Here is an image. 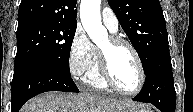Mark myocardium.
Returning <instances> with one entry per match:
<instances>
[{
	"label": "myocardium",
	"instance_id": "1",
	"mask_svg": "<svg viewBox=\"0 0 193 112\" xmlns=\"http://www.w3.org/2000/svg\"><path fill=\"white\" fill-rule=\"evenodd\" d=\"M110 44L112 46H126L128 47L131 52L134 55V58L136 60L137 63V67H138V71H139V82L137 87L132 90V91H126L124 89H122L113 79L110 69H109V65H108V58H107V54L101 50L100 48L98 49V62H99V70L101 73V76L103 78V80L105 81V83L112 88L113 90H115L116 92L123 94V95H127V96H134L137 95L143 88L144 84H145V70H144V66L141 60V57L137 51V49L135 48V46L129 42L128 40L118 37V36H111L109 38Z\"/></svg>",
	"mask_w": 193,
	"mask_h": 112
}]
</instances>
